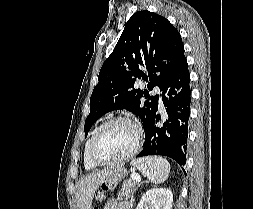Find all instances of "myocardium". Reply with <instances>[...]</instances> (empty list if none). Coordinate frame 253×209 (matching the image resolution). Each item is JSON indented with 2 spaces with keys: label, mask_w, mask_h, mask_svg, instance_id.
Returning <instances> with one entry per match:
<instances>
[{
  "label": "myocardium",
  "mask_w": 253,
  "mask_h": 209,
  "mask_svg": "<svg viewBox=\"0 0 253 209\" xmlns=\"http://www.w3.org/2000/svg\"><path fill=\"white\" fill-rule=\"evenodd\" d=\"M116 121H124L129 123L135 132V142L133 147L126 152L125 154H123L122 156L115 158V159H111V160H102L100 158L97 157L96 153H95V146H96V142L97 139L101 133V131L110 123L116 122ZM141 142H142V131L141 128L138 124V122L131 116L126 115V114H118V115H114L110 118H108L107 120H105L94 132V135L91 139L90 142V150H89V154H90V158L91 161L96 165V166H101V165H112V164H118L121 162H124L126 160H128L129 158H131L132 156H134L137 151L139 150L140 146H141Z\"/></svg>",
  "instance_id": "1"
}]
</instances>
